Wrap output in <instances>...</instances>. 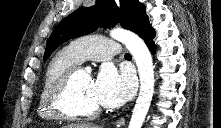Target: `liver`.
Returning a JSON list of instances; mask_svg holds the SVG:
<instances>
[{
    "label": "liver",
    "mask_w": 221,
    "mask_h": 128,
    "mask_svg": "<svg viewBox=\"0 0 221 128\" xmlns=\"http://www.w3.org/2000/svg\"><path fill=\"white\" fill-rule=\"evenodd\" d=\"M64 128H97V127L92 124H69L66 125Z\"/></svg>",
    "instance_id": "1"
}]
</instances>
